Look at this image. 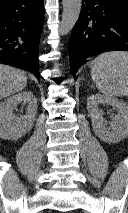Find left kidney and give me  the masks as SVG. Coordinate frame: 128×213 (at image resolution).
Instances as JSON below:
<instances>
[{
	"mask_svg": "<svg viewBox=\"0 0 128 213\" xmlns=\"http://www.w3.org/2000/svg\"><path fill=\"white\" fill-rule=\"evenodd\" d=\"M100 104L111 105L118 110L113 121L107 128L103 118V111L98 108ZM87 109L92 121L96 136L107 143H117L128 137V104L123 100L93 94L87 98Z\"/></svg>",
	"mask_w": 128,
	"mask_h": 213,
	"instance_id": "1",
	"label": "left kidney"
}]
</instances>
